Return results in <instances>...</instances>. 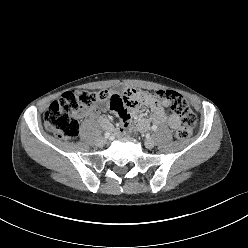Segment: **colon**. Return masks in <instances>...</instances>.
Here are the masks:
<instances>
[{"instance_id": "colon-1", "label": "colon", "mask_w": 248, "mask_h": 248, "mask_svg": "<svg viewBox=\"0 0 248 248\" xmlns=\"http://www.w3.org/2000/svg\"><path fill=\"white\" fill-rule=\"evenodd\" d=\"M106 90H70L53 102L44 114V126L56 137L69 140L78 135V117L96 102L111 99ZM154 97L166 100L171 109L181 116L182 125L176 131L179 139L188 138L197 123V117L187 100L175 91H158Z\"/></svg>"}]
</instances>
